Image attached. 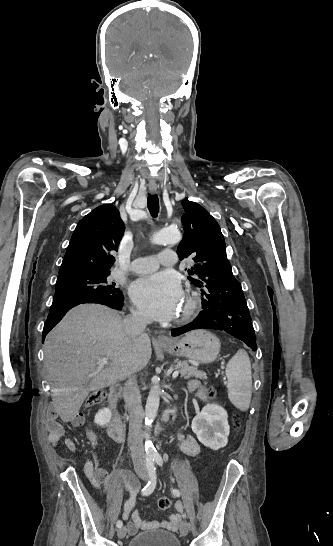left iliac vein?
Instances as JSON below:
<instances>
[{
	"mask_svg": "<svg viewBox=\"0 0 333 546\" xmlns=\"http://www.w3.org/2000/svg\"><path fill=\"white\" fill-rule=\"evenodd\" d=\"M190 530L189 523L186 520H183L180 525V532L182 536H186Z\"/></svg>",
	"mask_w": 333,
	"mask_h": 546,
	"instance_id": "left-iliac-vein-1",
	"label": "left iliac vein"
}]
</instances>
